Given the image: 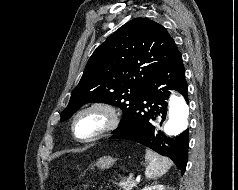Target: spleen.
Returning <instances> with one entry per match:
<instances>
[{
  "label": "spleen",
  "instance_id": "obj_1",
  "mask_svg": "<svg viewBox=\"0 0 238 190\" xmlns=\"http://www.w3.org/2000/svg\"><path fill=\"white\" fill-rule=\"evenodd\" d=\"M145 159L148 166L145 170L147 179H156L164 175L172 166V161L167 157H163L150 149H146Z\"/></svg>",
  "mask_w": 238,
  "mask_h": 190
}]
</instances>
